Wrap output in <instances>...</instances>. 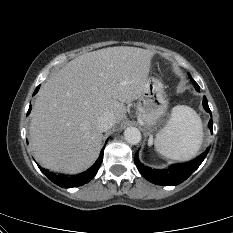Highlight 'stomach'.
Listing matches in <instances>:
<instances>
[{
    "label": "stomach",
    "mask_w": 233,
    "mask_h": 233,
    "mask_svg": "<svg viewBox=\"0 0 233 233\" xmlns=\"http://www.w3.org/2000/svg\"><path fill=\"white\" fill-rule=\"evenodd\" d=\"M164 86L159 79L148 77L145 88L137 105V117L148 130H152L165 114L168 102L165 98Z\"/></svg>",
    "instance_id": "1"
}]
</instances>
